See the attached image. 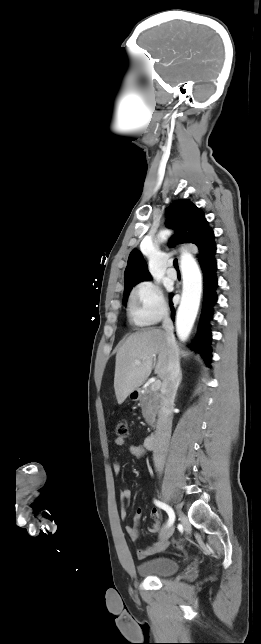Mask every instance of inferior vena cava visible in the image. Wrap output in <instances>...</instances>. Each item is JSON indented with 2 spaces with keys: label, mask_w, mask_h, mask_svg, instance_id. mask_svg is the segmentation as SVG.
Instances as JSON below:
<instances>
[{
  "label": "inferior vena cava",
  "mask_w": 261,
  "mask_h": 644,
  "mask_svg": "<svg viewBox=\"0 0 261 644\" xmlns=\"http://www.w3.org/2000/svg\"><path fill=\"white\" fill-rule=\"evenodd\" d=\"M163 328L172 350L168 360L167 376L161 389L160 409L154 438L153 461L159 472L163 471L168 451L172 428V409L181 373L179 352L173 334V323L168 314H165L163 318Z\"/></svg>",
  "instance_id": "inferior-vena-cava-1"
}]
</instances>
